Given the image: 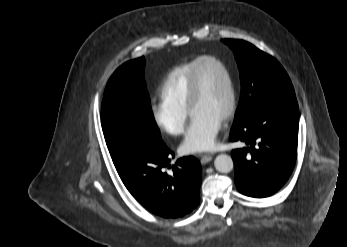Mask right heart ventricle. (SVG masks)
Returning a JSON list of instances; mask_svg holds the SVG:
<instances>
[{
	"label": "right heart ventricle",
	"instance_id": "right-heart-ventricle-1",
	"mask_svg": "<svg viewBox=\"0 0 347 247\" xmlns=\"http://www.w3.org/2000/svg\"><path fill=\"white\" fill-rule=\"evenodd\" d=\"M197 59L174 67L163 80L159 94L161 100L174 107L188 110L187 94L192 69Z\"/></svg>",
	"mask_w": 347,
	"mask_h": 247
}]
</instances>
